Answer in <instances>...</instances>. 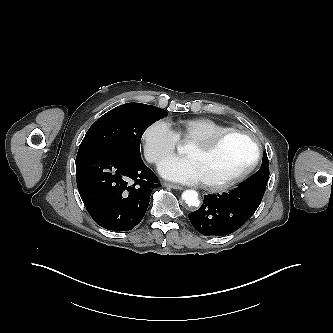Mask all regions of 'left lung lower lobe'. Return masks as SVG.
Returning <instances> with one entry per match:
<instances>
[{
    "mask_svg": "<svg viewBox=\"0 0 333 333\" xmlns=\"http://www.w3.org/2000/svg\"><path fill=\"white\" fill-rule=\"evenodd\" d=\"M265 190L264 187L239 186L229 193L204 196L202 206L189 214L190 222L205 236L230 234L251 218Z\"/></svg>",
    "mask_w": 333,
    "mask_h": 333,
    "instance_id": "obj_1",
    "label": "left lung lower lobe"
}]
</instances>
